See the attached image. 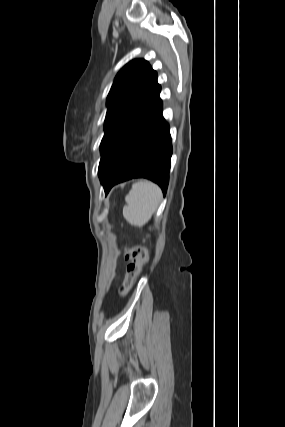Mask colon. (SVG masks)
I'll return each mask as SVG.
<instances>
[{
  "mask_svg": "<svg viewBox=\"0 0 285 427\" xmlns=\"http://www.w3.org/2000/svg\"><path fill=\"white\" fill-rule=\"evenodd\" d=\"M148 258V252L143 246L136 245L125 248L124 259L128 264L125 279L119 288L121 297H125L129 293L144 265L148 262Z\"/></svg>",
  "mask_w": 285,
  "mask_h": 427,
  "instance_id": "1",
  "label": "colon"
}]
</instances>
